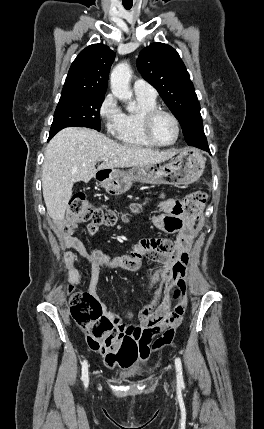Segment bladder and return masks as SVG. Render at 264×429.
<instances>
[{
  "mask_svg": "<svg viewBox=\"0 0 264 429\" xmlns=\"http://www.w3.org/2000/svg\"><path fill=\"white\" fill-rule=\"evenodd\" d=\"M141 375H142L141 373H135L132 376L136 377V376H141ZM123 377H128V376H123Z\"/></svg>",
  "mask_w": 264,
  "mask_h": 429,
  "instance_id": "bladder-1",
  "label": "bladder"
}]
</instances>
